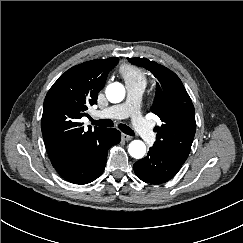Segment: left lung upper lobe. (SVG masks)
<instances>
[{
	"label": "left lung upper lobe",
	"mask_w": 243,
	"mask_h": 243,
	"mask_svg": "<svg viewBox=\"0 0 243 243\" xmlns=\"http://www.w3.org/2000/svg\"><path fill=\"white\" fill-rule=\"evenodd\" d=\"M157 78V97L151 107L161 120L153 146L185 162L196 131L195 109L179 77L168 68L146 58H128Z\"/></svg>",
	"instance_id": "5c2ea615"
}]
</instances>
